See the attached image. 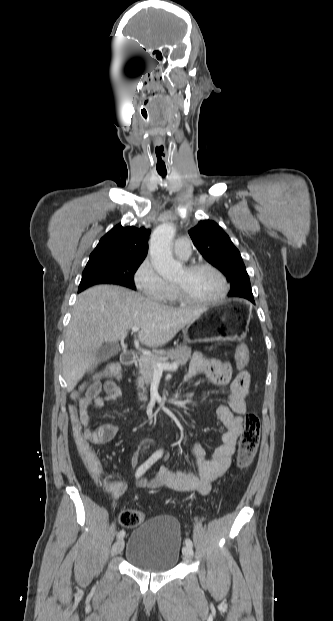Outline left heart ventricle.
Listing matches in <instances>:
<instances>
[{
    "mask_svg": "<svg viewBox=\"0 0 333 621\" xmlns=\"http://www.w3.org/2000/svg\"><path fill=\"white\" fill-rule=\"evenodd\" d=\"M173 284L180 286L190 297L197 300L212 299L222 290L220 278L209 270L188 273L182 269Z\"/></svg>",
    "mask_w": 333,
    "mask_h": 621,
    "instance_id": "1",
    "label": "left heart ventricle"
}]
</instances>
